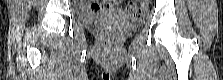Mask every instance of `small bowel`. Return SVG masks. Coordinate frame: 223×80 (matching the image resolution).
Listing matches in <instances>:
<instances>
[{
  "mask_svg": "<svg viewBox=\"0 0 223 80\" xmlns=\"http://www.w3.org/2000/svg\"><path fill=\"white\" fill-rule=\"evenodd\" d=\"M84 10H90L93 12H101V11H109L114 10L116 11L118 8V2L117 1H105V2H94L90 9L86 8L85 6L81 7Z\"/></svg>",
  "mask_w": 223,
  "mask_h": 80,
  "instance_id": "obj_1",
  "label": "small bowel"
}]
</instances>
